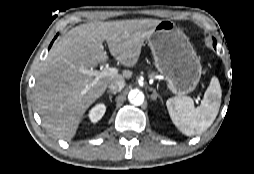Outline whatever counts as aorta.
<instances>
[{"mask_svg":"<svg viewBox=\"0 0 254 174\" xmlns=\"http://www.w3.org/2000/svg\"><path fill=\"white\" fill-rule=\"evenodd\" d=\"M128 99L132 105L140 106L144 102V94L138 89H134L129 92Z\"/></svg>","mask_w":254,"mask_h":174,"instance_id":"obj_1","label":"aorta"}]
</instances>
